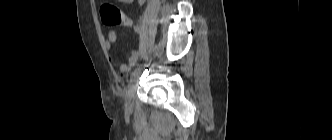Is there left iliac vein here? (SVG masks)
Masks as SVG:
<instances>
[{"instance_id": "left-iliac-vein-1", "label": "left iliac vein", "mask_w": 332, "mask_h": 140, "mask_svg": "<svg viewBox=\"0 0 332 140\" xmlns=\"http://www.w3.org/2000/svg\"><path fill=\"white\" fill-rule=\"evenodd\" d=\"M139 73L133 76L130 80V87L125 97V108L127 111H132L134 107V96L136 92V83Z\"/></svg>"}]
</instances>
